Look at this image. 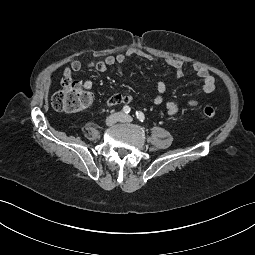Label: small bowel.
<instances>
[{
  "label": "small bowel",
  "mask_w": 255,
  "mask_h": 255,
  "mask_svg": "<svg viewBox=\"0 0 255 255\" xmlns=\"http://www.w3.org/2000/svg\"><path fill=\"white\" fill-rule=\"evenodd\" d=\"M134 57H141L149 62H157L158 60L151 55L150 53L138 49L131 48L127 50L125 53H119L117 55H112L106 57L104 60L91 62L88 67L95 69L99 73L105 72L109 67L114 66L116 64H127ZM167 65L172 68L175 72L176 77L180 78L184 75L183 65L184 63L181 60L171 59L168 60ZM82 64L78 60H74L70 63L69 66L65 67L63 73L66 77H70L72 73H77L81 71ZM195 74L200 78L202 82V89L205 93H212L215 90V78L214 76L204 67L200 65H196L194 67ZM84 88L87 91H91L93 89V82L91 80H86L84 82ZM166 92V84L163 81H158L156 83L155 92L153 94L152 100L156 105H161L164 102V94ZM132 101V97L128 92H122L112 95L107 100V106L113 107L119 104H128ZM196 100L188 101L187 105L189 107L197 106ZM165 109L168 115L173 116L179 112V105L177 102L173 100H169L165 102Z\"/></svg>",
  "instance_id": "obj_1"
}]
</instances>
